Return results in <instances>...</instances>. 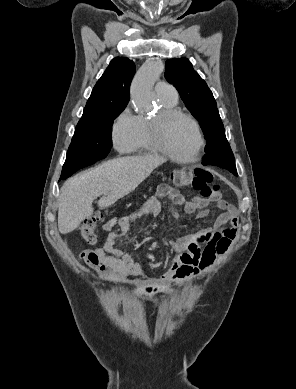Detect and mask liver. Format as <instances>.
<instances>
[{"label":"liver","mask_w":296,"mask_h":389,"mask_svg":"<svg viewBox=\"0 0 296 389\" xmlns=\"http://www.w3.org/2000/svg\"><path fill=\"white\" fill-rule=\"evenodd\" d=\"M166 159L147 154L109 160L69 179L61 188L58 229L61 234L75 230L93 214L92 202L100 208L114 204L142 183Z\"/></svg>","instance_id":"6515ba94"}]
</instances>
